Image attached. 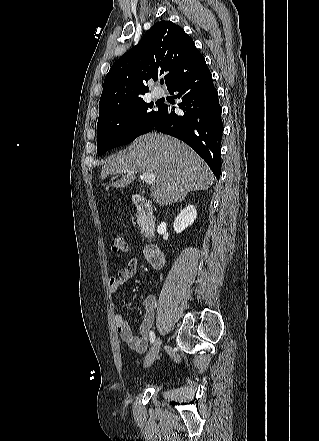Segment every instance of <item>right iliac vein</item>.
I'll return each mask as SVG.
<instances>
[{
  "label": "right iliac vein",
  "mask_w": 319,
  "mask_h": 441,
  "mask_svg": "<svg viewBox=\"0 0 319 441\" xmlns=\"http://www.w3.org/2000/svg\"><path fill=\"white\" fill-rule=\"evenodd\" d=\"M160 345H161V340L160 338H157V340L155 341V343L153 344V346L146 355L145 363H144L145 367H149L156 360L160 350Z\"/></svg>",
  "instance_id": "obj_1"
}]
</instances>
